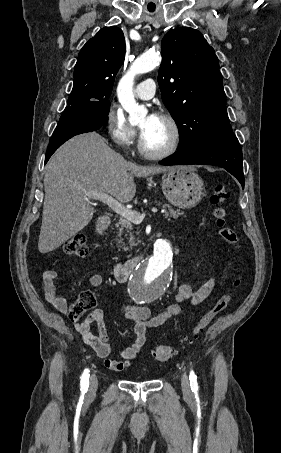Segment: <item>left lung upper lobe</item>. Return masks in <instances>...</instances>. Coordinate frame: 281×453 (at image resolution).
<instances>
[{"instance_id": "obj_1", "label": "left lung upper lobe", "mask_w": 281, "mask_h": 453, "mask_svg": "<svg viewBox=\"0 0 281 453\" xmlns=\"http://www.w3.org/2000/svg\"><path fill=\"white\" fill-rule=\"evenodd\" d=\"M158 82L179 128L178 150L233 135L218 58L202 33L183 27L164 36Z\"/></svg>"}]
</instances>
